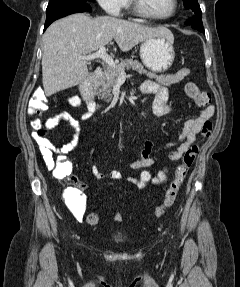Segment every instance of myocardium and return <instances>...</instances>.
Wrapping results in <instances>:
<instances>
[{
  "label": "myocardium",
  "mask_w": 240,
  "mask_h": 287,
  "mask_svg": "<svg viewBox=\"0 0 240 287\" xmlns=\"http://www.w3.org/2000/svg\"><path fill=\"white\" fill-rule=\"evenodd\" d=\"M133 5H134V9L135 11L140 14L141 16L150 19V20H154V21H166L169 20L171 18H173L177 11H178V0H172V9L171 11L163 16H157L152 14L145 6L143 3V0H132Z\"/></svg>",
  "instance_id": "f54148a6"
}]
</instances>
